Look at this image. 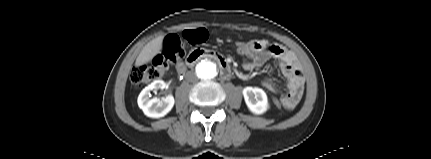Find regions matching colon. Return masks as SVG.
I'll return each instance as SVG.
<instances>
[{"instance_id":"obj_1","label":"colon","mask_w":431,"mask_h":159,"mask_svg":"<svg viewBox=\"0 0 431 159\" xmlns=\"http://www.w3.org/2000/svg\"><path fill=\"white\" fill-rule=\"evenodd\" d=\"M207 38V32L204 29L189 30L181 35L171 34L167 36L162 45V51L155 56L149 63L137 66L131 74V82L134 86L140 87L144 84L154 82L161 78L168 70L170 65L182 59L186 54V45H197L203 43ZM247 47L237 46L234 49L235 54L241 55L247 52ZM270 101L277 111H282L283 107L277 103L275 96H270Z\"/></svg>"}]
</instances>
